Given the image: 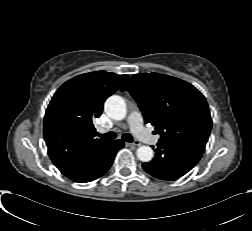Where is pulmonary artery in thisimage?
<instances>
[{"instance_id":"e3ab8cb5","label":"pulmonary artery","mask_w":252,"mask_h":231,"mask_svg":"<svg viewBox=\"0 0 252 231\" xmlns=\"http://www.w3.org/2000/svg\"><path fill=\"white\" fill-rule=\"evenodd\" d=\"M126 122L129 125L130 130L136 135V137L146 144H158L160 141V135L152 134L144 125L142 116L139 111H131ZM101 132H104L102 129Z\"/></svg>"}]
</instances>
